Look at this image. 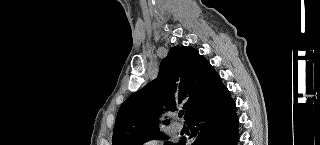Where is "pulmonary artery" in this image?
Wrapping results in <instances>:
<instances>
[{
  "mask_svg": "<svg viewBox=\"0 0 320 145\" xmlns=\"http://www.w3.org/2000/svg\"><path fill=\"white\" fill-rule=\"evenodd\" d=\"M171 128L174 132H180L183 129V125L179 122H173Z\"/></svg>",
  "mask_w": 320,
  "mask_h": 145,
  "instance_id": "e3ab8cb5",
  "label": "pulmonary artery"
}]
</instances>
